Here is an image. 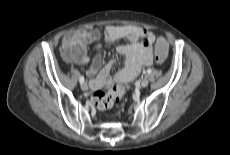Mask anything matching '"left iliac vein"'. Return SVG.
Wrapping results in <instances>:
<instances>
[{"label": "left iliac vein", "mask_w": 230, "mask_h": 155, "mask_svg": "<svg viewBox=\"0 0 230 155\" xmlns=\"http://www.w3.org/2000/svg\"><path fill=\"white\" fill-rule=\"evenodd\" d=\"M148 84H149V81L146 78L142 79L141 82H140V85L142 87H147Z\"/></svg>", "instance_id": "4c4485c4"}]
</instances>
